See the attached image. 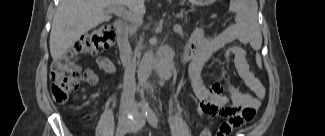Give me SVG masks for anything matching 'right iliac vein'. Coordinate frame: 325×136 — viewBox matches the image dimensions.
Instances as JSON below:
<instances>
[{"label": "right iliac vein", "instance_id": "obj_1", "mask_svg": "<svg viewBox=\"0 0 325 136\" xmlns=\"http://www.w3.org/2000/svg\"><path fill=\"white\" fill-rule=\"evenodd\" d=\"M127 107V105H126ZM135 121H124L118 128L116 132V136H124L127 132L131 130V128L135 125Z\"/></svg>", "mask_w": 325, "mask_h": 136}]
</instances>
